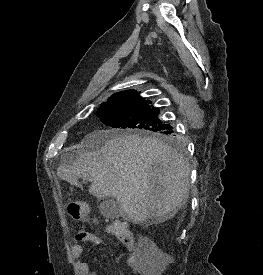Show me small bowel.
Returning <instances> with one entry per match:
<instances>
[{"label": "small bowel", "mask_w": 263, "mask_h": 275, "mask_svg": "<svg viewBox=\"0 0 263 275\" xmlns=\"http://www.w3.org/2000/svg\"><path fill=\"white\" fill-rule=\"evenodd\" d=\"M75 240L76 242L72 246V256L75 260L76 266L83 275H96V273L91 270L89 264L81 260V256L83 253V246L81 243L90 242L98 246L102 244V239L94 233L80 230L76 234ZM127 263L134 273L139 275L143 273L144 263L142 262L138 254H129L127 258Z\"/></svg>", "instance_id": "1"}]
</instances>
